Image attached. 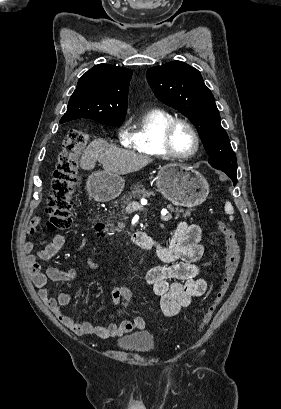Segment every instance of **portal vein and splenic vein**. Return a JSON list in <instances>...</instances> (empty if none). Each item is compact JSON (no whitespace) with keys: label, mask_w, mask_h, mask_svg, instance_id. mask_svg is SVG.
<instances>
[{"label":"portal vein and splenic vein","mask_w":281,"mask_h":409,"mask_svg":"<svg viewBox=\"0 0 281 409\" xmlns=\"http://www.w3.org/2000/svg\"><path fill=\"white\" fill-rule=\"evenodd\" d=\"M139 203H138V201L137 200H132L131 201V203H130V205H129V208L131 209V212L132 213H137L138 212V208L140 207L139 205H138ZM151 210V209H150ZM153 210H155V209H153ZM146 214V213H145ZM157 216V215H156ZM162 220L163 221H171L172 220V213L170 212L168 215H162Z\"/></svg>","instance_id":"portal-vein-and-splenic-vein-1"}]
</instances>
